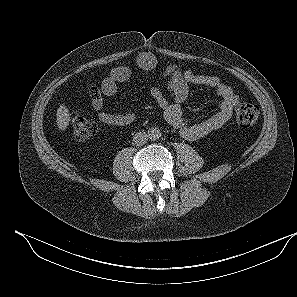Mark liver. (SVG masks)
Segmentation results:
<instances>
[{"label": "liver", "instance_id": "liver-1", "mask_svg": "<svg viewBox=\"0 0 297 297\" xmlns=\"http://www.w3.org/2000/svg\"><path fill=\"white\" fill-rule=\"evenodd\" d=\"M70 113L68 108L62 104L57 109L56 122L59 130L65 131L69 125Z\"/></svg>", "mask_w": 297, "mask_h": 297}]
</instances>
